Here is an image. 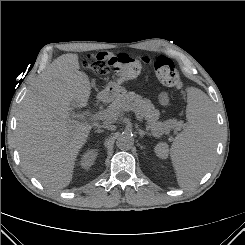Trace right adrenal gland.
Returning a JSON list of instances; mask_svg holds the SVG:
<instances>
[{"label": "right adrenal gland", "mask_w": 245, "mask_h": 245, "mask_svg": "<svg viewBox=\"0 0 245 245\" xmlns=\"http://www.w3.org/2000/svg\"><path fill=\"white\" fill-rule=\"evenodd\" d=\"M95 132H97V133H102L103 130H101L100 128H98Z\"/></svg>", "instance_id": "1"}]
</instances>
